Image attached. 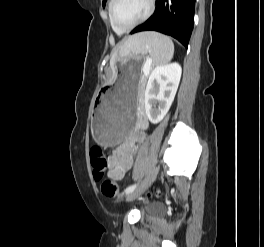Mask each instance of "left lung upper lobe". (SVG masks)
<instances>
[{"label": "left lung upper lobe", "mask_w": 264, "mask_h": 247, "mask_svg": "<svg viewBox=\"0 0 264 247\" xmlns=\"http://www.w3.org/2000/svg\"><path fill=\"white\" fill-rule=\"evenodd\" d=\"M106 0H103V6H105Z\"/></svg>", "instance_id": "left-lung-upper-lobe-1"}]
</instances>
